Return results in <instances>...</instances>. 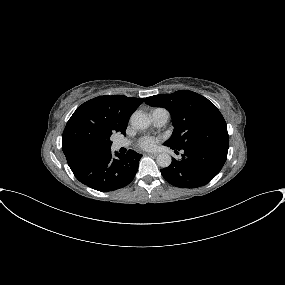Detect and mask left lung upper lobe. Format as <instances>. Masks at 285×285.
<instances>
[{
  "mask_svg": "<svg viewBox=\"0 0 285 285\" xmlns=\"http://www.w3.org/2000/svg\"><path fill=\"white\" fill-rule=\"evenodd\" d=\"M145 102L163 107L171 114L174 132L164 145L175 150L209 147L228 152L226 122L207 98L189 90H180L147 97Z\"/></svg>",
  "mask_w": 285,
  "mask_h": 285,
  "instance_id": "left-lung-upper-lobe-1",
  "label": "left lung upper lobe"
}]
</instances>
